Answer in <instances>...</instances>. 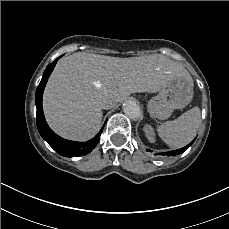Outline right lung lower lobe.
I'll return each instance as SVG.
<instances>
[{"label": "right lung lower lobe", "mask_w": 229, "mask_h": 229, "mask_svg": "<svg viewBox=\"0 0 229 229\" xmlns=\"http://www.w3.org/2000/svg\"><path fill=\"white\" fill-rule=\"evenodd\" d=\"M61 58V56L59 57ZM49 64L44 71L43 77L41 79L40 84L37 87L35 94V103L37 107V128L42 136V138L60 155L65 157H77L81 155H86L90 153L97 143L99 142V136L102 133L103 128L99 131V133L91 140L87 142H75L69 141L61 138L57 134H55L48 126L42 108V96L45 85L48 81V78L53 71L57 60Z\"/></svg>", "instance_id": "98d812e1"}]
</instances>
